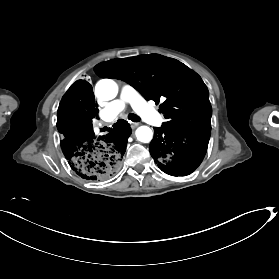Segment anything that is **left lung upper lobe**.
<instances>
[{
    "label": "left lung upper lobe",
    "instance_id": "left-lung-upper-lobe-1",
    "mask_svg": "<svg viewBox=\"0 0 279 279\" xmlns=\"http://www.w3.org/2000/svg\"><path fill=\"white\" fill-rule=\"evenodd\" d=\"M102 78L123 80L146 100H165L162 127L183 132L211 131L209 92L200 76L181 62L159 54L113 59L94 67Z\"/></svg>",
    "mask_w": 279,
    "mask_h": 279
}]
</instances>
